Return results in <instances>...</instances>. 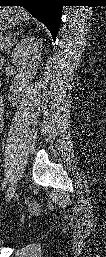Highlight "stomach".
Returning <instances> with one entry per match:
<instances>
[{"label": "stomach", "instance_id": "obj_1", "mask_svg": "<svg viewBox=\"0 0 106 257\" xmlns=\"http://www.w3.org/2000/svg\"><path fill=\"white\" fill-rule=\"evenodd\" d=\"M23 10L14 7H2L0 10V29L7 30L20 23Z\"/></svg>", "mask_w": 106, "mask_h": 257}]
</instances>
